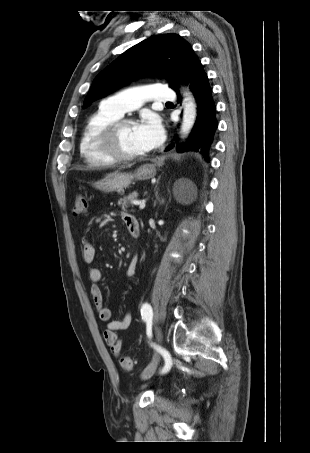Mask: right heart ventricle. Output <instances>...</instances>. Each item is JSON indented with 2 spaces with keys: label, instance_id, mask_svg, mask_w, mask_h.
<instances>
[{
  "label": "right heart ventricle",
  "instance_id": "obj_1",
  "mask_svg": "<svg viewBox=\"0 0 310 453\" xmlns=\"http://www.w3.org/2000/svg\"><path fill=\"white\" fill-rule=\"evenodd\" d=\"M121 116L100 105L87 120L80 139L79 149L87 165L94 168L111 167L114 160L108 158L99 147L100 133Z\"/></svg>",
  "mask_w": 310,
  "mask_h": 453
}]
</instances>
